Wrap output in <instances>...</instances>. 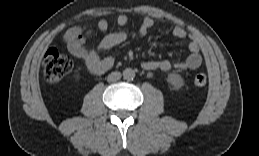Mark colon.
Instances as JSON below:
<instances>
[{
	"label": "colon",
	"mask_w": 259,
	"mask_h": 156,
	"mask_svg": "<svg viewBox=\"0 0 259 156\" xmlns=\"http://www.w3.org/2000/svg\"><path fill=\"white\" fill-rule=\"evenodd\" d=\"M43 75L48 83L56 85L68 75L73 67L71 59L55 48L46 51L43 57ZM207 82V75L200 72L195 75L193 83L197 87H202Z\"/></svg>",
	"instance_id": "5ec220e1"
}]
</instances>
